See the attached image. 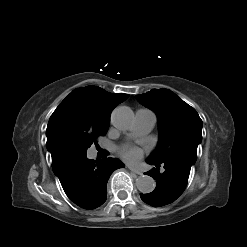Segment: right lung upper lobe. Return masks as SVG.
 <instances>
[{"mask_svg":"<svg viewBox=\"0 0 247 247\" xmlns=\"http://www.w3.org/2000/svg\"><path fill=\"white\" fill-rule=\"evenodd\" d=\"M128 97V94H113L92 85L72 91L56 108L48 122L46 146L52 159L63 154L58 144L57 133L65 120L109 125L113 108Z\"/></svg>","mask_w":247,"mask_h":247,"instance_id":"right-lung-upper-lobe-1","label":"right lung upper lobe"}]
</instances>
